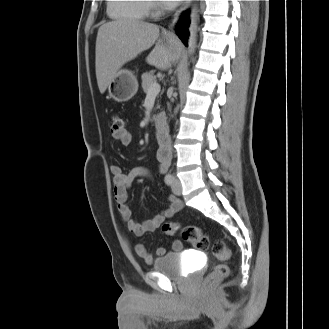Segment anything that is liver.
I'll use <instances>...</instances> for the list:
<instances>
[{"label":"liver","mask_w":329,"mask_h":329,"mask_svg":"<svg viewBox=\"0 0 329 329\" xmlns=\"http://www.w3.org/2000/svg\"><path fill=\"white\" fill-rule=\"evenodd\" d=\"M169 43L175 53L165 43L164 37H160L159 27L155 24L132 19L103 24L97 33L95 49L96 78L100 93L105 92L124 64L154 44L146 61L160 70L168 69L181 47L180 41L172 35L169 36Z\"/></svg>","instance_id":"liver-1"}]
</instances>
